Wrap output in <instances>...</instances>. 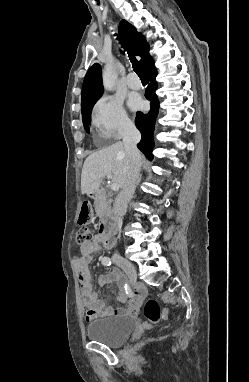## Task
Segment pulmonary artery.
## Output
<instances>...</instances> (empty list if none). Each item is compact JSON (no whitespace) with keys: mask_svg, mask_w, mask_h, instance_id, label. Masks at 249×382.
<instances>
[{"mask_svg":"<svg viewBox=\"0 0 249 382\" xmlns=\"http://www.w3.org/2000/svg\"><path fill=\"white\" fill-rule=\"evenodd\" d=\"M127 85L129 88L136 90L141 87V81L134 73H130L127 76Z\"/></svg>","mask_w":249,"mask_h":382,"instance_id":"e3ab8cb5","label":"pulmonary artery"}]
</instances>
